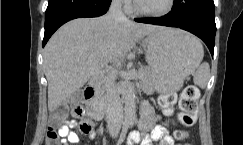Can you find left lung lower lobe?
I'll use <instances>...</instances> for the list:
<instances>
[{
	"instance_id": "0a47b994",
	"label": "left lung lower lobe",
	"mask_w": 243,
	"mask_h": 145,
	"mask_svg": "<svg viewBox=\"0 0 243 145\" xmlns=\"http://www.w3.org/2000/svg\"><path fill=\"white\" fill-rule=\"evenodd\" d=\"M135 21L169 27H178L189 31L205 42L213 56L216 33L215 20H194L185 17L179 11L171 10V12H169L167 15L159 18H136Z\"/></svg>"
}]
</instances>
